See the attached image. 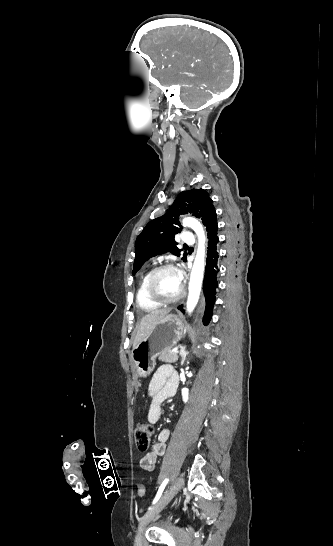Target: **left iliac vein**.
I'll return each mask as SVG.
<instances>
[{
    "mask_svg": "<svg viewBox=\"0 0 333 546\" xmlns=\"http://www.w3.org/2000/svg\"><path fill=\"white\" fill-rule=\"evenodd\" d=\"M184 484V479L179 477L176 479L166 490L164 496L153 506L151 507L144 516L140 519L138 531L135 539V546H141L142 544V533L145 527L150 523V521L171 501V499L178 493Z\"/></svg>",
    "mask_w": 333,
    "mask_h": 546,
    "instance_id": "obj_1",
    "label": "left iliac vein"
}]
</instances>
